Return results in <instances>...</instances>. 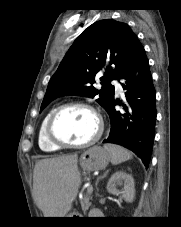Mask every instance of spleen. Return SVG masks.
<instances>
[{"label":"spleen","instance_id":"1","mask_svg":"<svg viewBox=\"0 0 181 227\" xmlns=\"http://www.w3.org/2000/svg\"><path fill=\"white\" fill-rule=\"evenodd\" d=\"M104 148L109 152L111 163L114 165L120 164L132 158V154L119 145L105 144Z\"/></svg>","mask_w":181,"mask_h":227}]
</instances>
